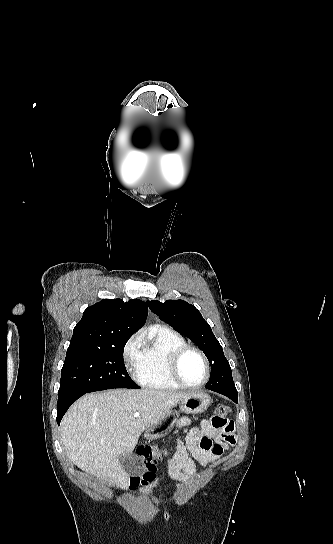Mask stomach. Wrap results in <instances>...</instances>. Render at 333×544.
<instances>
[{
	"instance_id": "1",
	"label": "stomach",
	"mask_w": 333,
	"mask_h": 544,
	"mask_svg": "<svg viewBox=\"0 0 333 544\" xmlns=\"http://www.w3.org/2000/svg\"><path fill=\"white\" fill-rule=\"evenodd\" d=\"M210 396L203 392L190 393L180 400L181 412L186 414H196L204 412L210 405ZM178 412L170 411L162 420L154 424L145 431L144 437L148 440H154L169 434L178 421Z\"/></svg>"
}]
</instances>
